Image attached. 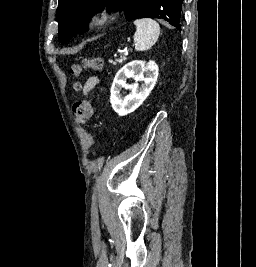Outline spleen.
<instances>
[{
  "instance_id": "3e777b00",
  "label": "spleen",
  "mask_w": 256,
  "mask_h": 267,
  "mask_svg": "<svg viewBox=\"0 0 256 267\" xmlns=\"http://www.w3.org/2000/svg\"><path fill=\"white\" fill-rule=\"evenodd\" d=\"M136 32L133 36L134 48L137 52L150 50L156 44L160 36V26L151 18H142L133 22Z\"/></svg>"
}]
</instances>
